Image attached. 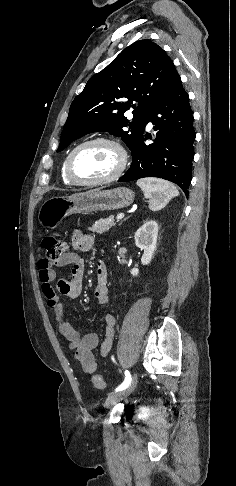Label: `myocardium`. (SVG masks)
<instances>
[{"label": "myocardium", "instance_id": "myocardium-1", "mask_svg": "<svg viewBox=\"0 0 236 486\" xmlns=\"http://www.w3.org/2000/svg\"><path fill=\"white\" fill-rule=\"evenodd\" d=\"M108 144L112 147H114L119 155H120V163L118 168L113 172L111 175L101 178V179H96V180H82L79 179L72 170V162L75 157V155L84 147L93 145V144ZM128 164V154L125 150V148L116 140L111 139V138H105V137H98L94 138L91 140H87L79 145H77L67 156L66 162H65V174L69 181L75 185H80V186H98V185H104L111 183L113 181H116L119 179L123 173L125 172Z\"/></svg>", "mask_w": 236, "mask_h": 486}]
</instances>
